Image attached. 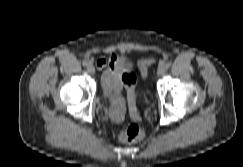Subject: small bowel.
I'll list each match as a JSON object with an SVG mask.
<instances>
[{
    "label": "small bowel",
    "instance_id": "c3829d8e",
    "mask_svg": "<svg viewBox=\"0 0 243 167\" xmlns=\"http://www.w3.org/2000/svg\"><path fill=\"white\" fill-rule=\"evenodd\" d=\"M123 59L120 54H113L108 61L99 59L97 66L103 71L102 89L103 94L110 100L109 116L115 122H120L125 114V101L121 95V85L119 83L120 72L118 69L119 62ZM130 111L134 118H137L136 106L131 105Z\"/></svg>",
    "mask_w": 243,
    "mask_h": 167
}]
</instances>
